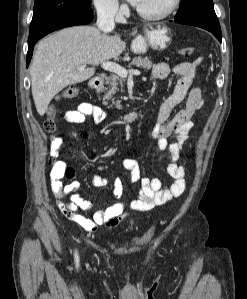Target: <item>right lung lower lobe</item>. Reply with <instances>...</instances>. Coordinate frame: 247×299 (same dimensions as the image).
<instances>
[{
	"instance_id": "98d812e1",
	"label": "right lung lower lobe",
	"mask_w": 247,
	"mask_h": 299,
	"mask_svg": "<svg viewBox=\"0 0 247 299\" xmlns=\"http://www.w3.org/2000/svg\"><path fill=\"white\" fill-rule=\"evenodd\" d=\"M92 19L93 11L91 8L72 10L49 20L34 30L29 31L26 66L28 67L30 63L33 54V47L39 39L64 27L87 24L91 22Z\"/></svg>"
}]
</instances>
